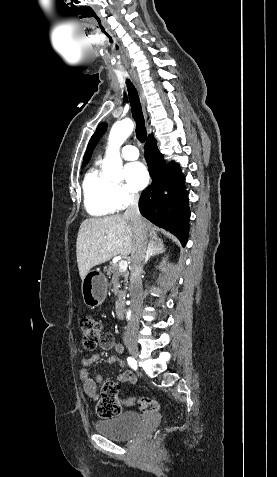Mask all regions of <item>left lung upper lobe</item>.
Returning <instances> with one entry per match:
<instances>
[{
    "label": "left lung upper lobe",
    "instance_id": "1",
    "mask_svg": "<svg viewBox=\"0 0 277 477\" xmlns=\"http://www.w3.org/2000/svg\"><path fill=\"white\" fill-rule=\"evenodd\" d=\"M106 127H107L106 123H101L97 127L93 136L91 137V139L89 141V144H88V150H87V153H86L87 160L90 158V156H91L96 144L98 143L99 139L105 133Z\"/></svg>",
    "mask_w": 277,
    "mask_h": 477
}]
</instances>
